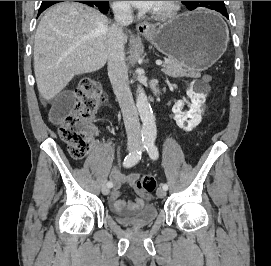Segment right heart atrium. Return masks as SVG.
Masks as SVG:
<instances>
[{
    "instance_id": "d8ad5b80",
    "label": "right heart atrium",
    "mask_w": 271,
    "mask_h": 266,
    "mask_svg": "<svg viewBox=\"0 0 271 266\" xmlns=\"http://www.w3.org/2000/svg\"><path fill=\"white\" fill-rule=\"evenodd\" d=\"M114 10L121 15H128L130 13V6L127 1H114L113 2Z\"/></svg>"
}]
</instances>
